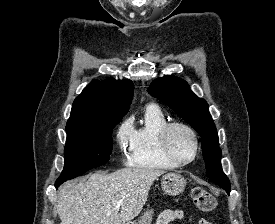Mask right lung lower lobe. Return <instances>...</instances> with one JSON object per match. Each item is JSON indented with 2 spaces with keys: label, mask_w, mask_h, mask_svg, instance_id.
<instances>
[{
  "label": "right lung lower lobe",
  "mask_w": 275,
  "mask_h": 224,
  "mask_svg": "<svg viewBox=\"0 0 275 224\" xmlns=\"http://www.w3.org/2000/svg\"><path fill=\"white\" fill-rule=\"evenodd\" d=\"M59 185H60L59 183H58V184H57V183H55V187H56V189L59 187Z\"/></svg>",
  "instance_id": "obj_1"
}]
</instances>
